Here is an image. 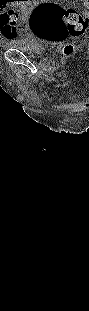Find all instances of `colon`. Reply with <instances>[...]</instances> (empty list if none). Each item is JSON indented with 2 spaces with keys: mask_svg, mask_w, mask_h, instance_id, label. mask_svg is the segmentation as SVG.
Here are the masks:
<instances>
[{
  "mask_svg": "<svg viewBox=\"0 0 89 311\" xmlns=\"http://www.w3.org/2000/svg\"><path fill=\"white\" fill-rule=\"evenodd\" d=\"M13 16L14 11L10 9L2 14L1 19L5 25L18 31L21 26L12 20ZM87 25V16L81 11L64 7L52 1H45L37 5L29 20L30 30L36 36L50 42H61L69 36L78 37L85 32ZM72 50L71 44L65 45V53H70Z\"/></svg>",
  "mask_w": 89,
  "mask_h": 311,
  "instance_id": "colon-1",
  "label": "colon"
}]
</instances>
